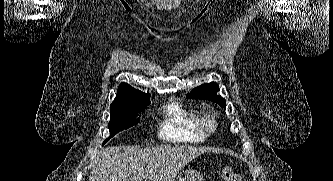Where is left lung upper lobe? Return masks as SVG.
Instances as JSON below:
<instances>
[{"mask_svg":"<svg viewBox=\"0 0 333 181\" xmlns=\"http://www.w3.org/2000/svg\"><path fill=\"white\" fill-rule=\"evenodd\" d=\"M217 91L218 85L215 82H210L193 89L191 93L187 94V97L192 99L210 100L225 108L226 101L221 96L217 95Z\"/></svg>","mask_w":333,"mask_h":181,"instance_id":"5c2ea615","label":"left lung upper lobe"}]
</instances>
